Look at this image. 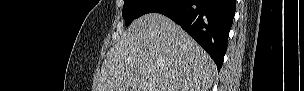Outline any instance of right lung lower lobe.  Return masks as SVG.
Listing matches in <instances>:
<instances>
[{"label": "right lung lower lobe", "instance_id": "1", "mask_svg": "<svg viewBox=\"0 0 304 91\" xmlns=\"http://www.w3.org/2000/svg\"><path fill=\"white\" fill-rule=\"evenodd\" d=\"M235 10V0H157L148 13H161L179 24L208 52L219 71Z\"/></svg>", "mask_w": 304, "mask_h": 91}]
</instances>
